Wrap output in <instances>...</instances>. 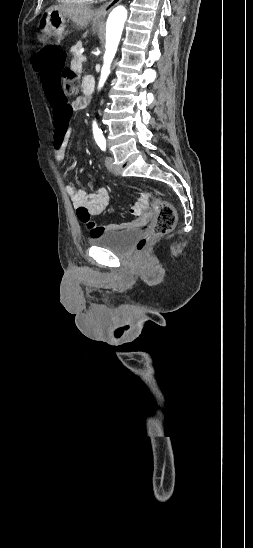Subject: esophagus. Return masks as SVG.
Instances as JSON below:
<instances>
[{"instance_id": "esophagus-1", "label": "esophagus", "mask_w": 253, "mask_h": 548, "mask_svg": "<svg viewBox=\"0 0 253 548\" xmlns=\"http://www.w3.org/2000/svg\"><path fill=\"white\" fill-rule=\"evenodd\" d=\"M121 1L122 0H110L106 2L95 11V15L100 18L105 17L111 11V9Z\"/></svg>"}]
</instances>
